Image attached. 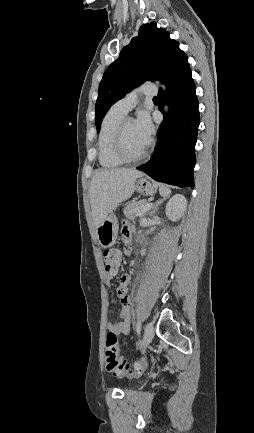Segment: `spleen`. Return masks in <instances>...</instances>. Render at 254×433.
Wrapping results in <instances>:
<instances>
[{
    "label": "spleen",
    "instance_id": "obj_1",
    "mask_svg": "<svg viewBox=\"0 0 254 433\" xmlns=\"http://www.w3.org/2000/svg\"><path fill=\"white\" fill-rule=\"evenodd\" d=\"M159 192L161 195H163L164 197L169 195L171 193L170 189L167 186L162 185L159 189Z\"/></svg>",
    "mask_w": 254,
    "mask_h": 433
}]
</instances>
